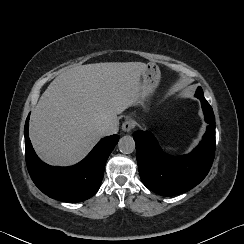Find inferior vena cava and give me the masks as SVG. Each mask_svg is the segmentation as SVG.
<instances>
[{
	"mask_svg": "<svg viewBox=\"0 0 244 244\" xmlns=\"http://www.w3.org/2000/svg\"><path fill=\"white\" fill-rule=\"evenodd\" d=\"M117 131H118L117 123L112 121L105 122L100 127V132L102 136H109L117 133Z\"/></svg>",
	"mask_w": 244,
	"mask_h": 244,
	"instance_id": "1",
	"label": "inferior vena cava"
}]
</instances>
